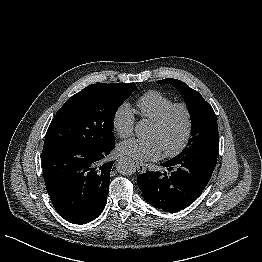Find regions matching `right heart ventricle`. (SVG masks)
I'll return each instance as SVG.
<instances>
[{
    "instance_id": "1",
    "label": "right heart ventricle",
    "mask_w": 262,
    "mask_h": 262,
    "mask_svg": "<svg viewBox=\"0 0 262 262\" xmlns=\"http://www.w3.org/2000/svg\"><path fill=\"white\" fill-rule=\"evenodd\" d=\"M174 101L157 90H150L136 101L138 113L151 121L157 120Z\"/></svg>"
}]
</instances>
